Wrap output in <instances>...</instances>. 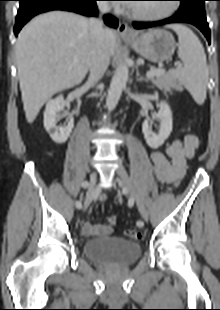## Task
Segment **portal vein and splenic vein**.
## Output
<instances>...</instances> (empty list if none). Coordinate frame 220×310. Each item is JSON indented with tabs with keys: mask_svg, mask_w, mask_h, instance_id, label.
<instances>
[{
	"mask_svg": "<svg viewBox=\"0 0 220 310\" xmlns=\"http://www.w3.org/2000/svg\"><path fill=\"white\" fill-rule=\"evenodd\" d=\"M175 65H179L178 63H176ZM164 73V70L163 69H152V70H150V71H148L147 73H146V76L148 77V78H152V77H154V76H159V75H161V74H163Z\"/></svg>",
	"mask_w": 220,
	"mask_h": 310,
	"instance_id": "obj_1",
	"label": "portal vein and splenic vein"
}]
</instances>
